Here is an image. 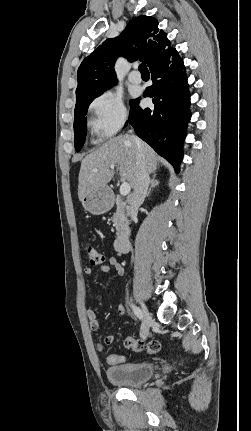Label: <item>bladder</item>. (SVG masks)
I'll return each mask as SVG.
<instances>
[{
	"mask_svg": "<svg viewBox=\"0 0 251 431\" xmlns=\"http://www.w3.org/2000/svg\"><path fill=\"white\" fill-rule=\"evenodd\" d=\"M155 367L148 362H133L109 366L106 376L117 386L136 387L152 378Z\"/></svg>",
	"mask_w": 251,
	"mask_h": 431,
	"instance_id": "1",
	"label": "bladder"
}]
</instances>
